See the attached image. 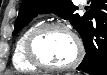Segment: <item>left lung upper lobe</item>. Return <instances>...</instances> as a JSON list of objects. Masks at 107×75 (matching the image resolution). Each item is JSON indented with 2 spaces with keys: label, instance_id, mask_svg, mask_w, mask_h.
Returning <instances> with one entry per match:
<instances>
[{
  "label": "left lung upper lobe",
  "instance_id": "5c2ea615",
  "mask_svg": "<svg viewBox=\"0 0 107 75\" xmlns=\"http://www.w3.org/2000/svg\"><path fill=\"white\" fill-rule=\"evenodd\" d=\"M76 9L77 7L71 0H23L14 25L13 35L18 33L39 13L49 12L56 13L62 18L69 20L81 34L89 21V17L88 14L80 16L78 13H75ZM97 35L100 38L104 37L100 32H97Z\"/></svg>",
  "mask_w": 107,
  "mask_h": 75
}]
</instances>
